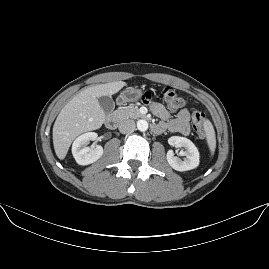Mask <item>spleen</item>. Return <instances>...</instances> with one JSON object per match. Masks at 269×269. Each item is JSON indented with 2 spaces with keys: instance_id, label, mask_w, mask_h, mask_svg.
<instances>
[{
  "instance_id": "1",
  "label": "spleen",
  "mask_w": 269,
  "mask_h": 269,
  "mask_svg": "<svg viewBox=\"0 0 269 269\" xmlns=\"http://www.w3.org/2000/svg\"><path fill=\"white\" fill-rule=\"evenodd\" d=\"M205 130L208 134V141L211 146V149L214 150L215 144H216L215 135H214L213 127L209 121H205Z\"/></svg>"
}]
</instances>
